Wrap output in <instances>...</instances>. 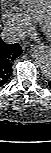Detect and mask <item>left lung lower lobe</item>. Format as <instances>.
<instances>
[{
  "label": "left lung lower lobe",
  "instance_id": "0a47b994",
  "mask_svg": "<svg viewBox=\"0 0 51 153\" xmlns=\"http://www.w3.org/2000/svg\"><path fill=\"white\" fill-rule=\"evenodd\" d=\"M49 85H50V87H51V81L49 82Z\"/></svg>",
  "mask_w": 51,
  "mask_h": 153
}]
</instances>
